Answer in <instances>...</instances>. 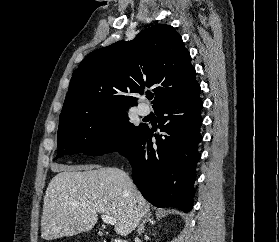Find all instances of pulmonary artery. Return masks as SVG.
<instances>
[{"label": "pulmonary artery", "mask_w": 279, "mask_h": 242, "mask_svg": "<svg viewBox=\"0 0 279 242\" xmlns=\"http://www.w3.org/2000/svg\"><path fill=\"white\" fill-rule=\"evenodd\" d=\"M138 113L141 116H147L150 113V108L147 105L140 104L138 106Z\"/></svg>", "instance_id": "e3ab8cb5"}]
</instances>
